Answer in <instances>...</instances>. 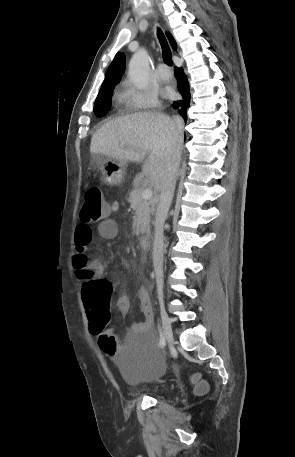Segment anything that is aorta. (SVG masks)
Returning a JSON list of instances; mask_svg holds the SVG:
<instances>
[{
  "instance_id": "1",
  "label": "aorta",
  "mask_w": 295,
  "mask_h": 457,
  "mask_svg": "<svg viewBox=\"0 0 295 457\" xmlns=\"http://www.w3.org/2000/svg\"><path fill=\"white\" fill-rule=\"evenodd\" d=\"M128 76L133 85L145 90L149 85V60L146 50L140 49L130 59Z\"/></svg>"
}]
</instances>
